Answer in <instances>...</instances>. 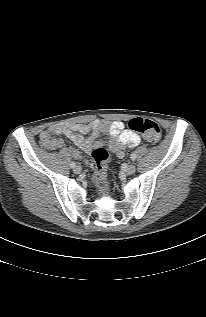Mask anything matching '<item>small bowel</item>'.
<instances>
[{
	"mask_svg": "<svg viewBox=\"0 0 206 317\" xmlns=\"http://www.w3.org/2000/svg\"><path fill=\"white\" fill-rule=\"evenodd\" d=\"M89 133L91 134L89 137H84L85 134ZM101 134L106 135L107 140H98L97 138ZM57 136L68 138L87 153H90L95 148L106 145L119 158L124 157V149L127 146L136 147L141 142L140 136L131 130L125 129L123 122H108L101 119H96L86 124L52 126L43 130L39 137L44 147L56 150L64 147L63 140ZM69 153L76 159L81 158L80 152L74 148H70Z\"/></svg>",
	"mask_w": 206,
	"mask_h": 317,
	"instance_id": "small-bowel-1",
	"label": "small bowel"
}]
</instances>
